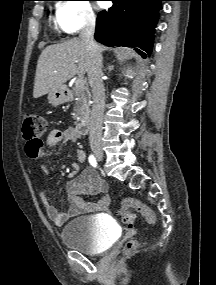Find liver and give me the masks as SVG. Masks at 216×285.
Instances as JSON below:
<instances>
[{"label":"liver","instance_id":"liver-1","mask_svg":"<svg viewBox=\"0 0 216 285\" xmlns=\"http://www.w3.org/2000/svg\"><path fill=\"white\" fill-rule=\"evenodd\" d=\"M98 46L100 52L106 50L105 46ZM88 63L89 53L81 38L47 46L38 59L33 97L36 99L63 87L76 74L83 76L88 71Z\"/></svg>","mask_w":216,"mask_h":285}]
</instances>
